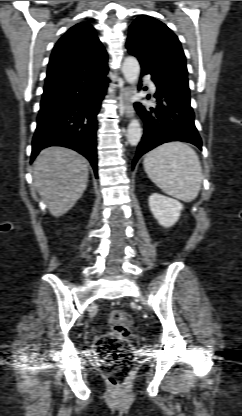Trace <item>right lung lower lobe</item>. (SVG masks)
<instances>
[{"mask_svg": "<svg viewBox=\"0 0 242 416\" xmlns=\"http://www.w3.org/2000/svg\"><path fill=\"white\" fill-rule=\"evenodd\" d=\"M107 72L44 89L31 161L43 148L64 146L84 155L97 176V114L108 87Z\"/></svg>", "mask_w": 242, "mask_h": 416, "instance_id": "98d812e1", "label": "right lung lower lobe"}]
</instances>
